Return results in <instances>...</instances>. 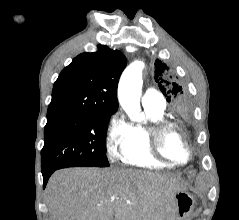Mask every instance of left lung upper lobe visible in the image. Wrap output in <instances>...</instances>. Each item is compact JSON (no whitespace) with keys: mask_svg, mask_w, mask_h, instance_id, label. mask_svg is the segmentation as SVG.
Returning a JSON list of instances; mask_svg holds the SVG:
<instances>
[{"mask_svg":"<svg viewBox=\"0 0 239 220\" xmlns=\"http://www.w3.org/2000/svg\"><path fill=\"white\" fill-rule=\"evenodd\" d=\"M155 67V81L167 102L171 104L176 116L182 120H191L192 106L182 86L174 82L172 76L169 75V67L163 61L156 60Z\"/></svg>","mask_w":239,"mask_h":220,"instance_id":"5c2ea615","label":"left lung upper lobe"}]
</instances>
